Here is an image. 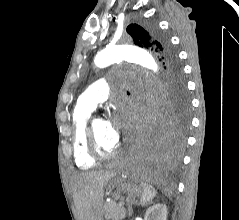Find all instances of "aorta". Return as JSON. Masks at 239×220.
I'll use <instances>...</instances> for the list:
<instances>
[{
  "label": "aorta",
  "mask_w": 239,
  "mask_h": 220,
  "mask_svg": "<svg viewBox=\"0 0 239 220\" xmlns=\"http://www.w3.org/2000/svg\"><path fill=\"white\" fill-rule=\"evenodd\" d=\"M125 45H111L100 51L95 57L96 66L103 68L107 67L119 60L134 61V65H143V71H151L152 75L149 78H155L157 83H160L158 78L159 68L155 60L151 56L149 48H125Z\"/></svg>",
  "instance_id": "aorta-1"
}]
</instances>
